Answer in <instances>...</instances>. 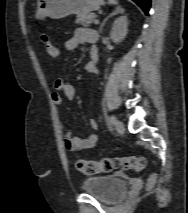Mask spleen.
Here are the masks:
<instances>
[{
  "instance_id": "spleen-1",
  "label": "spleen",
  "mask_w": 188,
  "mask_h": 213,
  "mask_svg": "<svg viewBox=\"0 0 188 213\" xmlns=\"http://www.w3.org/2000/svg\"><path fill=\"white\" fill-rule=\"evenodd\" d=\"M108 3L110 5H116L118 2H117V0H108Z\"/></svg>"
}]
</instances>
